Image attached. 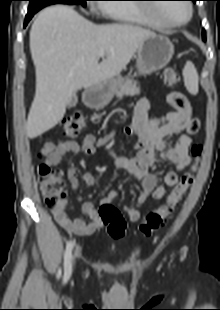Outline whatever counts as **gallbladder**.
Wrapping results in <instances>:
<instances>
[{
  "label": "gallbladder",
  "mask_w": 220,
  "mask_h": 310,
  "mask_svg": "<svg viewBox=\"0 0 220 310\" xmlns=\"http://www.w3.org/2000/svg\"><path fill=\"white\" fill-rule=\"evenodd\" d=\"M77 96H76V94L74 93L71 97H70V99H69V101H68V103H67V107H69V108H73V107H75L76 106V104H77Z\"/></svg>",
  "instance_id": "1"
}]
</instances>
